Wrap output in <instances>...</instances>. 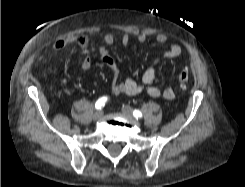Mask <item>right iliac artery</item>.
I'll return each mask as SVG.
<instances>
[{"label": "right iliac artery", "mask_w": 245, "mask_h": 187, "mask_svg": "<svg viewBox=\"0 0 245 187\" xmlns=\"http://www.w3.org/2000/svg\"><path fill=\"white\" fill-rule=\"evenodd\" d=\"M107 97H101L97 100V102L95 103V108L96 109H101L105 103L107 102Z\"/></svg>", "instance_id": "82829eb1"}]
</instances>
